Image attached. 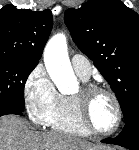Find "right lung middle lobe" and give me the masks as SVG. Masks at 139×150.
Here are the masks:
<instances>
[{
  "label": "right lung middle lobe",
  "mask_w": 139,
  "mask_h": 150,
  "mask_svg": "<svg viewBox=\"0 0 139 150\" xmlns=\"http://www.w3.org/2000/svg\"><path fill=\"white\" fill-rule=\"evenodd\" d=\"M36 63L11 57H0V105L24 111V86Z\"/></svg>",
  "instance_id": "right-lung-middle-lobe-1"
}]
</instances>
